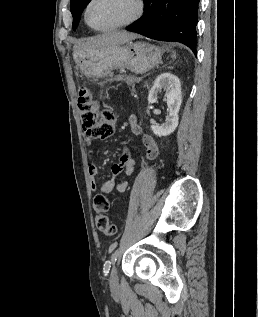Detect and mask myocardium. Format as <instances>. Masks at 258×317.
<instances>
[{
	"mask_svg": "<svg viewBox=\"0 0 258 317\" xmlns=\"http://www.w3.org/2000/svg\"><path fill=\"white\" fill-rule=\"evenodd\" d=\"M93 1H95V0H90L88 2V4L86 5L85 11H84V19H85V22L87 23V25L91 29H93L95 31H99V32H107V31H112L115 29L127 27V26L131 25L132 23H134L136 20H138L143 13V5L139 0H127V1L134 3L135 8H136L134 14L129 19H127L119 24L110 26V27H104V28L96 27L89 21V18H88V11H89L90 5L92 4Z\"/></svg>",
	"mask_w": 258,
	"mask_h": 317,
	"instance_id": "obj_1",
	"label": "myocardium"
}]
</instances>
